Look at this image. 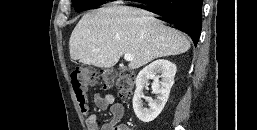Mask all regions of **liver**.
<instances>
[{"label":"liver","mask_w":257,"mask_h":130,"mask_svg":"<svg viewBox=\"0 0 257 130\" xmlns=\"http://www.w3.org/2000/svg\"><path fill=\"white\" fill-rule=\"evenodd\" d=\"M190 42L152 13L131 7H103L85 14L71 33L70 58L98 68H111L125 54L138 69L154 59L187 52Z\"/></svg>","instance_id":"liver-1"}]
</instances>
